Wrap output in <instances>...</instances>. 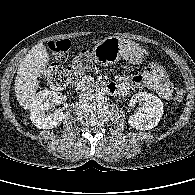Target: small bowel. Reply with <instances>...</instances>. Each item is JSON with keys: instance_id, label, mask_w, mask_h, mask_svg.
Returning a JSON list of instances; mask_svg holds the SVG:
<instances>
[{"instance_id": "small-bowel-1", "label": "small bowel", "mask_w": 195, "mask_h": 195, "mask_svg": "<svg viewBox=\"0 0 195 195\" xmlns=\"http://www.w3.org/2000/svg\"><path fill=\"white\" fill-rule=\"evenodd\" d=\"M132 87L151 89L165 100L170 99L172 95V84L169 82V80H159L147 70L142 74L133 75L129 82L122 83L119 86L116 94L119 96H124Z\"/></svg>"}]
</instances>
